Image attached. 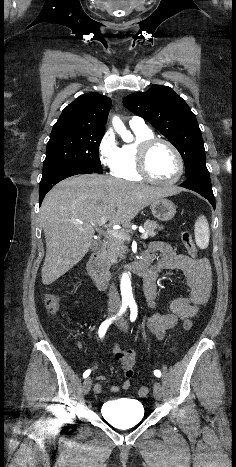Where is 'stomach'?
<instances>
[{"label": "stomach", "mask_w": 236, "mask_h": 467, "mask_svg": "<svg viewBox=\"0 0 236 467\" xmlns=\"http://www.w3.org/2000/svg\"><path fill=\"white\" fill-rule=\"evenodd\" d=\"M153 216L161 221H169L176 214L175 204L166 198H160L150 204Z\"/></svg>", "instance_id": "1"}]
</instances>
